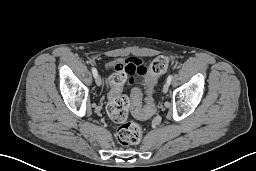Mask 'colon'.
I'll use <instances>...</instances> for the list:
<instances>
[{
    "label": "colon",
    "mask_w": 256,
    "mask_h": 171,
    "mask_svg": "<svg viewBox=\"0 0 256 171\" xmlns=\"http://www.w3.org/2000/svg\"><path fill=\"white\" fill-rule=\"evenodd\" d=\"M168 69V60L164 56L155 58L149 68L146 78V108H142V95L138 88H134L130 99L121 93L125 82L122 71H116L110 77L112 89L108 96L106 111L109 118L119 123L116 130V139L120 145L129 146L137 144L142 137V129L135 122L127 121L131 110L137 117L149 115L154 109V84L157 78Z\"/></svg>",
    "instance_id": "colon-1"
}]
</instances>
